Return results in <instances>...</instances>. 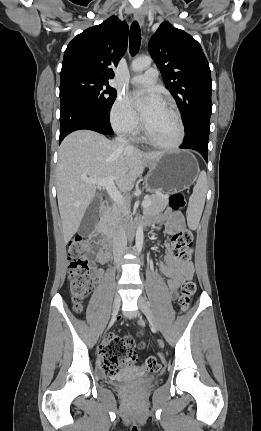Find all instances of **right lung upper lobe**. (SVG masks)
I'll use <instances>...</instances> for the list:
<instances>
[{"label":"right lung upper lobe","mask_w":261,"mask_h":431,"mask_svg":"<svg viewBox=\"0 0 261 431\" xmlns=\"http://www.w3.org/2000/svg\"><path fill=\"white\" fill-rule=\"evenodd\" d=\"M128 25L111 16L102 24L90 27L77 35L64 53L61 77L85 73L108 81L114 77L113 66L125 54Z\"/></svg>","instance_id":"obj_1"}]
</instances>
